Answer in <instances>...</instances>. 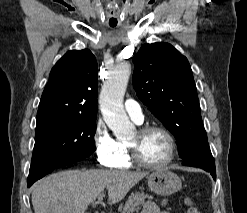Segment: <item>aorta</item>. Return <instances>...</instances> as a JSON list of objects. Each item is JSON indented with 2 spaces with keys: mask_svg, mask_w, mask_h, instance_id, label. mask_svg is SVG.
<instances>
[{
  "mask_svg": "<svg viewBox=\"0 0 247 213\" xmlns=\"http://www.w3.org/2000/svg\"><path fill=\"white\" fill-rule=\"evenodd\" d=\"M131 74L129 63L118 64L104 82L99 103L104 121L117 137L131 135L134 125L123 106V97Z\"/></svg>",
  "mask_w": 247,
  "mask_h": 213,
  "instance_id": "aorta-1",
  "label": "aorta"
}]
</instances>
